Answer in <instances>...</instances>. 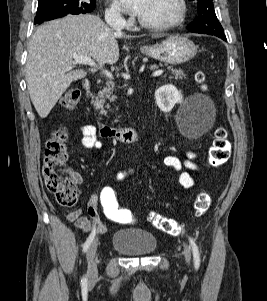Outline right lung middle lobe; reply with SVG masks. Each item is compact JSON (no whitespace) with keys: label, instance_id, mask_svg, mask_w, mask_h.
Instances as JSON below:
<instances>
[{"label":"right lung middle lobe","instance_id":"right-lung-middle-lobe-1","mask_svg":"<svg viewBox=\"0 0 267 301\" xmlns=\"http://www.w3.org/2000/svg\"><path fill=\"white\" fill-rule=\"evenodd\" d=\"M96 7L95 0H38L35 24L66 14L89 13Z\"/></svg>","mask_w":267,"mask_h":301}]
</instances>
